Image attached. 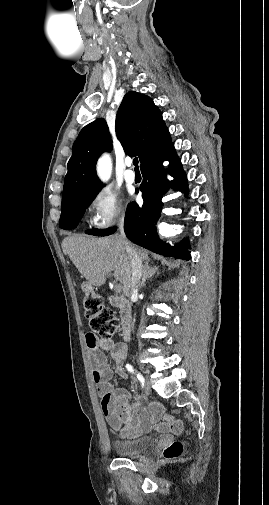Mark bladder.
Segmentation results:
<instances>
[{
    "instance_id": "1",
    "label": "bladder",
    "mask_w": 269,
    "mask_h": 505,
    "mask_svg": "<svg viewBox=\"0 0 269 505\" xmlns=\"http://www.w3.org/2000/svg\"><path fill=\"white\" fill-rule=\"evenodd\" d=\"M154 442L153 437L142 436L133 440L115 441L113 446L120 456L135 457L149 450Z\"/></svg>"
}]
</instances>
